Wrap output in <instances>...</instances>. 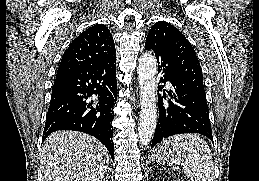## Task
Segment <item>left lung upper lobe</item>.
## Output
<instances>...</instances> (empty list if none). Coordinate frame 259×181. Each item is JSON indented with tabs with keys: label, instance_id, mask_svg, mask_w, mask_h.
<instances>
[{
	"label": "left lung upper lobe",
	"instance_id": "obj_1",
	"mask_svg": "<svg viewBox=\"0 0 259 181\" xmlns=\"http://www.w3.org/2000/svg\"><path fill=\"white\" fill-rule=\"evenodd\" d=\"M145 48L155 54L165 53L177 76L200 95L206 96L195 50L176 27L163 21L155 23L147 35Z\"/></svg>",
	"mask_w": 259,
	"mask_h": 181
}]
</instances>
